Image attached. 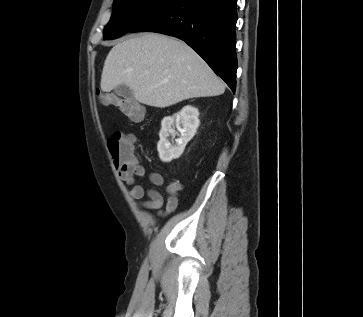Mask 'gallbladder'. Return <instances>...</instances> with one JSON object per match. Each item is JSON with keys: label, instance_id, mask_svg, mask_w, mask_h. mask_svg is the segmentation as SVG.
<instances>
[{"label": "gallbladder", "instance_id": "1", "mask_svg": "<svg viewBox=\"0 0 363 317\" xmlns=\"http://www.w3.org/2000/svg\"><path fill=\"white\" fill-rule=\"evenodd\" d=\"M115 93H116V95L123 97L125 99L133 98V91L125 84L118 85L115 88Z\"/></svg>", "mask_w": 363, "mask_h": 317}]
</instances>
